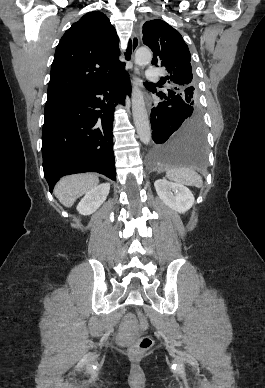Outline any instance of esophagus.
Returning a JSON list of instances; mask_svg holds the SVG:
<instances>
[{"mask_svg":"<svg viewBox=\"0 0 265 388\" xmlns=\"http://www.w3.org/2000/svg\"><path fill=\"white\" fill-rule=\"evenodd\" d=\"M139 42L140 41H139V38L137 37V35L133 34L132 35V50H133V52H135L137 50V48L139 46ZM136 72L141 73L142 72L141 68H137Z\"/></svg>","mask_w":265,"mask_h":388,"instance_id":"1","label":"esophagus"}]
</instances>
